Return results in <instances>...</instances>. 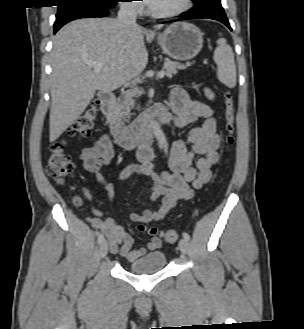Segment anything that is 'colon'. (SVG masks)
Returning <instances> with one entry per match:
<instances>
[{
	"instance_id": "1",
	"label": "colon",
	"mask_w": 304,
	"mask_h": 329,
	"mask_svg": "<svg viewBox=\"0 0 304 329\" xmlns=\"http://www.w3.org/2000/svg\"><path fill=\"white\" fill-rule=\"evenodd\" d=\"M224 106V117L226 122L225 130L227 134L226 142L228 145H233L235 142L234 102L230 92H226L224 95ZM98 112V102L92 101L75 122L71 130V134L78 138L86 137L93 128ZM46 171L47 174L59 184H63L66 179L72 176L74 172V165L71 156L65 151L64 144L62 142H55L51 145ZM75 204L78 205L79 200L76 199ZM138 229L142 232H147L151 236L160 235L169 243H174L179 239V233L174 229L159 230L156 227H146L143 224H140Z\"/></svg>"
}]
</instances>
